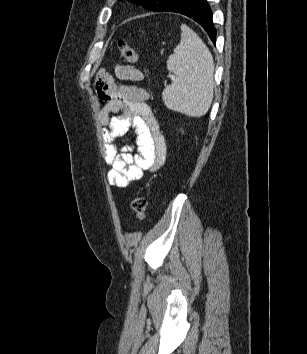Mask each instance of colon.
<instances>
[{
	"instance_id": "obj_1",
	"label": "colon",
	"mask_w": 307,
	"mask_h": 354,
	"mask_svg": "<svg viewBox=\"0 0 307 354\" xmlns=\"http://www.w3.org/2000/svg\"><path fill=\"white\" fill-rule=\"evenodd\" d=\"M121 57L130 64H134L138 60L137 51L126 41L121 40L118 43ZM132 209L138 219L143 220L147 212V200L144 196L140 195L133 199Z\"/></svg>"
}]
</instances>
